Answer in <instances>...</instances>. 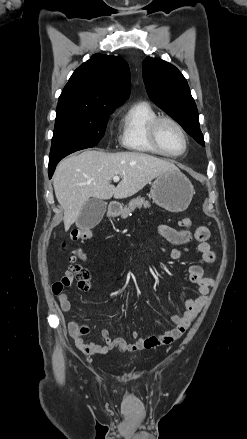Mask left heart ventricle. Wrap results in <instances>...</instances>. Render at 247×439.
Segmentation results:
<instances>
[{"label":"left heart ventricle","mask_w":247,"mask_h":439,"mask_svg":"<svg viewBox=\"0 0 247 439\" xmlns=\"http://www.w3.org/2000/svg\"><path fill=\"white\" fill-rule=\"evenodd\" d=\"M158 140L161 147L168 153H179L184 147V141L180 132L168 122H163L159 126Z\"/></svg>","instance_id":"left-heart-ventricle-1"}]
</instances>
